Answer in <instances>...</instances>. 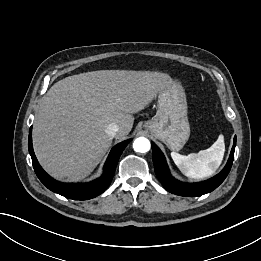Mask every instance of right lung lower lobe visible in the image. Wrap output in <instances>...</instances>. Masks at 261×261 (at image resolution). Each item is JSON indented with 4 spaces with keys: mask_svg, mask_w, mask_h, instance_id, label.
I'll list each match as a JSON object with an SVG mask.
<instances>
[{
    "mask_svg": "<svg viewBox=\"0 0 261 261\" xmlns=\"http://www.w3.org/2000/svg\"><path fill=\"white\" fill-rule=\"evenodd\" d=\"M131 139L123 141L116 145L110 152L104 165L103 175L90 183L85 184H64L51 178L39 165L33 151L32 145V127L29 131L28 148L32 158L33 168L39 180L51 191L64 197L74 200H88L103 193L110 185L115 173L116 165L125 147Z\"/></svg>",
    "mask_w": 261,
    "mask_h": 261,
    "instance_id": "obj_1",
    "label": "right lung lower lobe"
}]
</instances>
